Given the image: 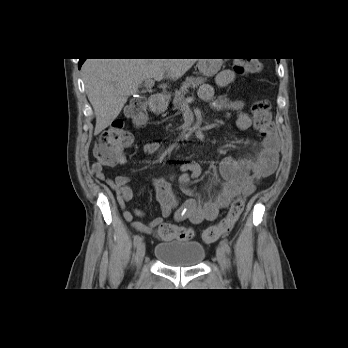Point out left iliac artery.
Wrapping results in <instances>:
<instances>
[{
    "label": "left iliac artery",
    "instance_id": "left-iliac-artery-1",
    "mask_svg": "<svg viewBox=\"0 0 348 348\" xmlns=\"http://www.w3.org/2000/svg\"><path fill=\"white\" fill-rule=\"evenodd\" d=\"M220 245L227 254H230L231 249L227 242L221 241Z\"/></svg>",
    "mask_w": 348,
    "mask_h": 348
}]
</instances>
